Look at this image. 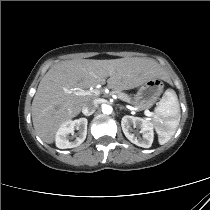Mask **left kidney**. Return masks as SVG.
<instances>
[{"label":"left kidney","instance_id":"obj_1","mask_svg":"<svg viewBox=\"0 0 210 210\" xmlns=\"http://www.w3.org/2000/svg\"><path fill=\"white\" fill-rule=\"evenodd\" d=\"M121 126L124 135L128 140H130L133 144L143 147V148H149L152 145L153 142V124L147 120H144L139 117L134 116H124L121 120ZM140 129V133L142 134V138H137L132 133V128Z\"/></svg>","mask_w":210,"mask_h":210}]
</instances>
